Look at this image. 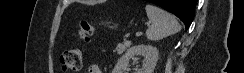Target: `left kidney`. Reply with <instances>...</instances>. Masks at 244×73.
I'll return each instance as SVG.
<instances>
[{
  "mask_svg": "<svg viewBox=\"0 0 244 73\" xmlns=\"http://www.w3.org/2000/svg\"><path fill=\"white\" fill-rule=\"evenodd\" d=\"M143 56L144 61L141 69H136L135 73H153L159 57V51L151 45H136L127 50V52L118 60L112 73H123V70L129 65L131 58Z\"/></svg>",
  "mask_w": 244,
  "mask_h": 73,
  "instance_id": "obj_1",
  "label": "left kidney"
}]
</instances>
